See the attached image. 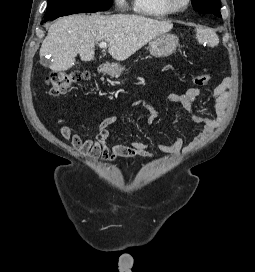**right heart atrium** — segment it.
Returning a JSON list of instances; mask_svg holds the SVG:
<instances>
[{"label": "right heart atrium", "mask_w": 255, "mask_h": 272, "mask_svg": "<svg viewBox=\"0 0 255 272\" xmlns=\"http://www.w3.org/2000/svg\"><path fill=\"white\" fill-rule=\"evenodd\" d=\"M115 6L120 11H125L128 8L127 0H115Z\"/></svg>", "instance_id": "d8ad5b80"}]
</instances>
